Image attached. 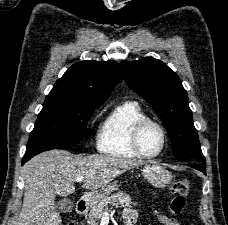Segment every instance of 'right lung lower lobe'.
I'll use <instances>...</instances> for the list:
<instances>
[{
	"mask_svg": "<svg viewBox=\"0 0 228 225\" xmlns=\"http://www.w3.org/2000/svg\"><path fill=\"white\" fill-rule=\"evenodd\" d=\"M58 148L71 150L70 143L65 141H45L27 146L26 153L22 159V165L41 152Z\"/></svg>",
	"mask_w": 228,
	"mask_h": 225,
	"instance_id": "right-lung-lower-lobe-1",
	"label": "right lung lower lobe"
}]
</instances>
